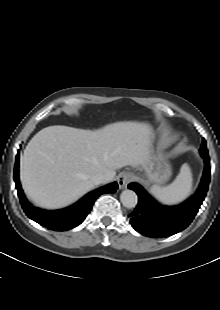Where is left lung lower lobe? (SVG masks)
Masks as SVG:
<instances>
[{
    "mask_svg": "<svg viewBox=\"0 0 220 310\" xmlns=\"http://www.w3.org/2000/svg\"><path fill=\"white\" fill-rule=\"evenodd\" d=\"M205 168L196 193L177 206H164L155 201L137 183L128 187L138 195V205L129 215L132 227L139 233L154 238L168 237L184 230L197 214L210 182L209 155L202 156Z\"/></svg>",
    "mask_w": 220,
    "mask_h": 310,
    "instance_id": "obj_1",
    "label": "left lung lower lobe"
}]
</instances>
